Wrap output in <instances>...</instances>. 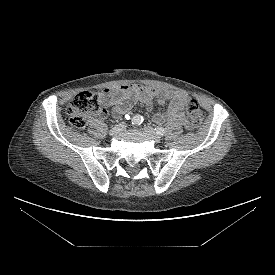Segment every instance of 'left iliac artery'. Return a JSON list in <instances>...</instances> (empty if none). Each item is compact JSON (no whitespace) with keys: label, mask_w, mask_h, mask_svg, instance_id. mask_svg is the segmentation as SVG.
<instances>
[{"label":"left iliac artery","mask_w":275,"mask_h":275,"mask_svg":"<svg viewBox=\"0 0 275 275\" xmlns=\"http://www.w3.org/2000/svg\"><path fill=\"white\" fill-rule=\"evenodd\" d=\"M156 132L157 134H159L160 136H163L165 134V129L163 127H157L156 128Z\"/></svg>","instance_id":"44dca946"}]
</instances>
